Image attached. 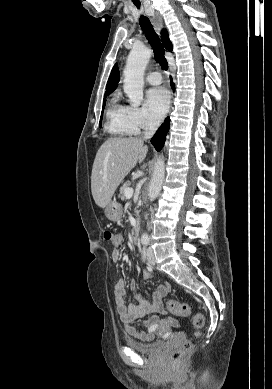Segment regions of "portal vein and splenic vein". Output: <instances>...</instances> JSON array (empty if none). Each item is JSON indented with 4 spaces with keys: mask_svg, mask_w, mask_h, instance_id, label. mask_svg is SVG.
<instances>
[{
    "mask_svg": "<svg viewBox=\"0 0 272 389\" xmlns=\"http://www.w3.org/2000/svg\"><path fill=\"white\" fill-rule=\"evenodd\" d=\"M124 193H125L126 197H132L134 190H133V188H126Z\"/></svg>",
    "mask_w": 272,
    "mask_h": 389,
    "instance_id": "18ae733b",
    "label": "portal vein and splenic vein"
}]
</instances>
